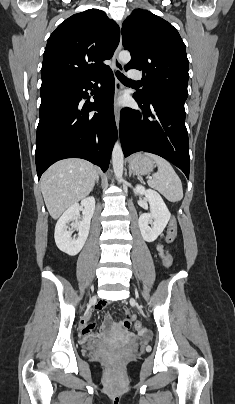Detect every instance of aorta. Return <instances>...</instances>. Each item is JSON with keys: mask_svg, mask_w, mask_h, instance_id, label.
<instances>
[{"mask_svg": "<svg viewBox=\"0 0 235 404\" xmlns=\"http://www.w3.org/2000/svg\"><path fill=\"white\" fill-rule=\"evenodd\" d=\"M131 56L128 51H121L119 53V60L126 64L130 61ZM112 162H113V170L116 176L118 183H121L123 180V164H124V155L121 148V144L117 141L114 145L112 152Z\"/></svg>", "mask_w": 235, "mask_h": 404, "instance_id": "obj_1", "label": "aorta"}]
</instances>
